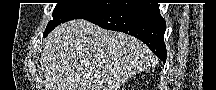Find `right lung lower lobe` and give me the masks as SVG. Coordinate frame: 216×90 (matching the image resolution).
Instances as JSON below:
<instances>
[{
  "label": "right lung lower lobe",
  "mask_w": 216,
  "mask_h": 90,
  "mask_svg": "<svg viewBox=\"0 0 216 90\" xmlns=\"http://www.w3.org/2000/svg\"><path fill=\"white\" fill-rule=\"evenodd\" d=\"M102 28L124 32L143 41L163 63L166 61V23L158 4H114L83 18Z\"/></svg>",
  "instance_id": "right-lung-lower-lobe-1"
}]
</instances>
